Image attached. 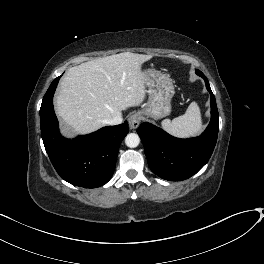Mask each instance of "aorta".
I'll list each match as a JSON object with an SVG mask.
<instances>
[{"label": "aorta", "instance_id": "aorta-1", "mask_svg": "<svg viewBox=\"0 0 264 264\" xmlns=\"http://www.w3.org/2000/svg\"><path fill=\"white\" fill-rule=\"evenodd\" d=\"M140 138L136 133H129L125 137V144L130 148H135L139 145Z\"/></svg>", "mask_w": 264, "mask_h": 264}]
</instances>
